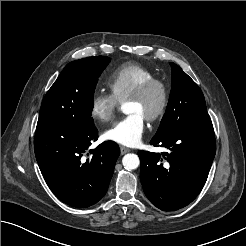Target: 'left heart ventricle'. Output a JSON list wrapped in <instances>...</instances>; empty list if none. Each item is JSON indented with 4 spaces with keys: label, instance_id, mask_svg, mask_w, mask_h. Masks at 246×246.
<instances>
[{
    "label": "left heart ventricle",
    "instance_id": "b2bd125f",
    "mask_svg": "<svg viewBox=\"0 0 246 246\" xmlns=\"http://www.w3.org/2000/svg\"><path fill=\"white\" fill-rule=\"evenodd\" d=\"M161 100L160 90L155 88L142 101H127L125 104V111L127 113H139L144 118L153 113Z\"/></svg>",
    "mask_w": 246,
    "mask_h": 246
}]
</instances>
